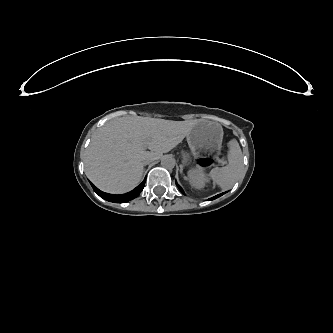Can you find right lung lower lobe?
I'll list each match as a JSON object with an SVG mask.
<instances>
[{
  "instance_id": "right-lung-lower-lobe-1",
  "label": "right lung lower lobe",
  "mask_w": 333,
  "mask_h": 333,
  "mask_svg": "<svg viewBox=\"0 0 333 333\" xmlns=\"http://www.w3.org/2000/svg\"><path fill=\"white\" fill-rule=\"evenodd\" d=\"M144 183H145V180L138 187H136L134 190H132L131 192H129L127 194L119 195V196H130V195L133 196V195H138L141 192V190H143ZM92 186L95 188L96 191L100 192V190H98L93 184H92ZM103 194H105V193H103ZM106 195H109V194H106Z\"/></svg>"
}]
</instances>
